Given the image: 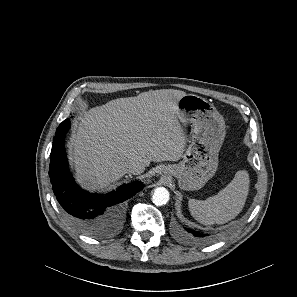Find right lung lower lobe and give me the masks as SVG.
<instances>
[{"label":"right lung lower lobe","instance_id":"1","mask_svg":"<svg viewBox=\"0 0 297 297\" xmlns=\"http://www.w3.org/2000/svg\"><path fill=\"white\" fill-rule=\"evenodd\" d=\"M69 128L70 119H66L53 138L49 166L52 188L58 202L80 231L90 236H102L108 225L118 218L119 204L139 192L143 184L133 182L105 196L82 190L69 172L64 152V138ZM108 207H114V210L103 215Z\"/></svg>","mask_w":297,"mask_h":297}]
</instances>
